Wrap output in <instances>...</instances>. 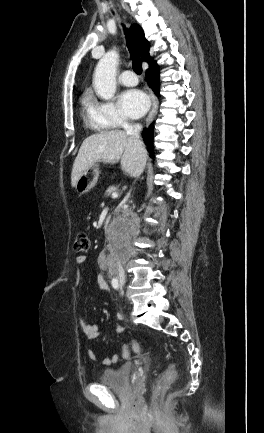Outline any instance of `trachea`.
<instances>
[{
	"label": "trachea",
	"mask_w": 264,
	"mask_h": 433,
	"mask_svg": "<svg viewBox=\"0 0 264 433\" xmlns=\"http://www.w3.org/2000/svg\"><path fill=\"white\" fill-rule=\"evenodd\" d=\"M124 33L126 36V42H127L128 50L130 52V57L133 61V70L137 74H141L142 73V62H141V59L137 55L136 48H135V42L133 40V37H132V35L128 29H124Z\"/></svg>",
	"instance_id": "1"
}]
</instances>
